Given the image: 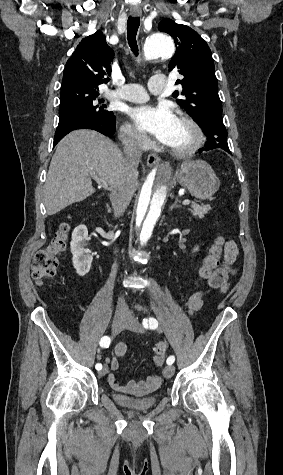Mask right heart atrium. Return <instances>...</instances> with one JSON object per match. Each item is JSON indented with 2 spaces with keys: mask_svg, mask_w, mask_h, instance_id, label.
Wrapping results in <instances>:
<instances>
[{
  "mask_svg": "<svg viewBox=\"0 0 283 475\" xmlns=\"http://www.w3.org/2000/svg\"><path fill=\"white\" fill-rule=\"evenodd\" d=\"M118 133L126 152L143 153L150 147L149 138L139 133L129 122H123L118 128Z\"/></svg>",
  "mask_w": 283,
  "mask_h": 475,
  "instance_id": "right-heart-atrium-1",
  "label": "right heart atrium"
}]
</instances>
